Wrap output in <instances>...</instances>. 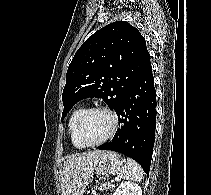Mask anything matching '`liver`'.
<instances>
[{
  "label": "liver",
  "instance_id": "obj_1",
  "mask_svg": "<svg viewBox=\"0 0 211 195\" xmlns=\"http://www.w3.org/2000/svg\"><path fill=\"white\" fill-rule=\"evenodd\" d=\"M102 151H91L69 157L60 172L62 195H83L90 182L95 160Z\"/></svg>",
  "mask_w": 211,
  "mask_h": 195
}]
</instances>
